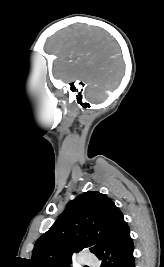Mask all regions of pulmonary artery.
<instances>
[{"instance_id":"obj_1","label":"pulmonary artery","mask_w":164,"mask_h":267,"mask_svg":"<svg viewBox=\"0 0 164 267\" xmlns=\"http://www.w3.org/2000/svg\"><path fill=\"white\" fill-rule=\"evenodd\" d=\"M79 262L85 265H94L96 263V259L92 256H84L79 260Z\"/></svg>"}]
</instances>
